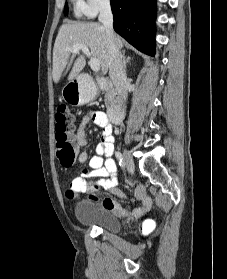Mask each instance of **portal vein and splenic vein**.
<instances>
[{
  "mask_svg": "<svg viewBox=\"0 0 227 279\" xmlns=\"http://www.w3.org/2000/svg\"><path fill=\"white\" fill-rule=\"evenodd\" d=\"M79 51H82L84 54H86L88 57H90L89 64L93 71L97 72L100 70V62L96 58L91 57L92 54L90 53V51L86 45L77 44V45L73 46V48H72L73 53L76 54Z\"/></svg>",
  "mask_w": 227,
  "mask_h": 279,
  "instance_id": "obj_1",
  "label": "portal vein and splenic vein"
}]
</instances>
